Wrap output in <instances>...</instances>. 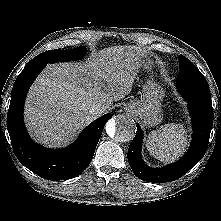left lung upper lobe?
<instances>
[{
  "mask_svg": "<svg viewBox=\"0 0 221 221\" xmlns=\"http://www.w3.org/2000/svg\"><path fill=\"white\" fill-rule=\"evenodd\" d=\"M180 69L176 81L203 80L205 77L199 69L185 56H179Z\"/></svg>",
  "mask_w": 221,
  "mask_h": 221,
  "instance_id": "1",
  "label": "left lung upper lobe"
}]
</instances>
